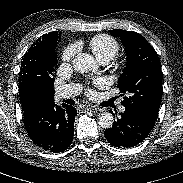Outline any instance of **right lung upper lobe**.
Segmentation results:
<instances>
[{"label": "right lung upper lobe", "mask_w": 183, "mask_h": 183, "mask_svg": "<svg viewBox=\"0 0 183 183\" xmlns=\"http://www.w3.org/2000/svg\"><path fill=\"white\" fill-rule=\"evenodd\" d=\"M61 33L50 32L38 38L23 57L19 72V97L22 108L29 105L27 90L35 83L52 78L53 67L57 61L54 49Z\"/></svg>", "instance_id": "cb5924a9"}]
</instances>
